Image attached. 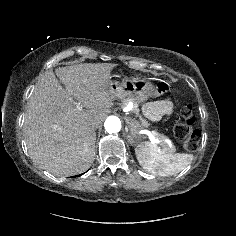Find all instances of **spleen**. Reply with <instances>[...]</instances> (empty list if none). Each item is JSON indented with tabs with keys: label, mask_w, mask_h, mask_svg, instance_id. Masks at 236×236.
Wrapping results in <instances>:
<instances>
[{
	"label": "spleen",
	"mask_w": 236,
	"mask_h": 236,
	"mask_svg": "<svg viewBox=\"0 0 236 236\" xmlns=\"http://www.w3.org/2000/svg\"><path fill=\"white\" fill-rule=\"evenodd\" d=\"M139 164L152 174L172 176L181 172L193 160L194 156L187 153H176L161 149L156 144L144 142L135 149Z\"/></svg>",
	"instance_id": "spleen-1"
}]
</instances>
